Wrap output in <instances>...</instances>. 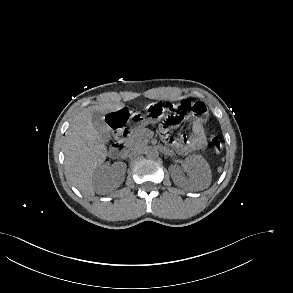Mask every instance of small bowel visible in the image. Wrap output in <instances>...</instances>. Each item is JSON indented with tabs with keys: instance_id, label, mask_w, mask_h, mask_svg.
<instances>
[{
	"instance_id": "1",
	"label": "small bowel",
	"mask_w": 293,
	"mask_h": 293,
	"mask_svg": "<svg viewBox=\"0 0 293 293\" xmlns=\"http://www.w3.org/2000/svg\"><path fill=\"white\" fill-rule=\"evenodd\" d=\"M174 147L182 153H190L204 150L207 146L203 120L196 118L191 122V132L183 139H176L173 142Z\"/></svg>"
}]
</instances>
